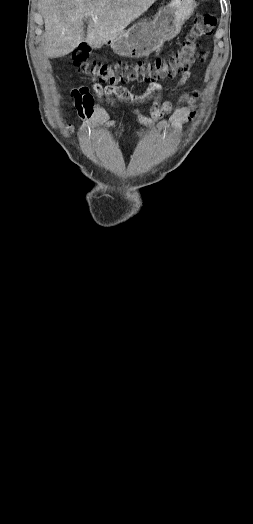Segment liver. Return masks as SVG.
<instances>
[{
  "mask_svg": "<svg viewBox=\"0 0 253 524\" xmlns=\"http://www.w3.org/2000/svg\"><path fill=\"white\" fill-rule=\"evenodd\" d=\"M154 2L156 0H41L44 53L48 57L67 55L83 40L93 49L101 48Z\"/></svg>",
  "mask_w": 253,
  "mask_h": 524,
  "instance_id": "1",
  "label": "liver"
}]
</instances>
